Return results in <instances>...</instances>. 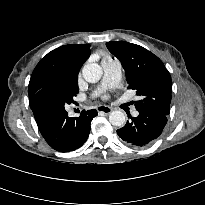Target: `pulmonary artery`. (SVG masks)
<instances>
[{"label": "pulmonary artery", "instance_id": "obj_1", "mask_svg": "<svg viewBox=\"0 0 205 205\" xmlns=\"http://www.w3.org/2000/svg\"><path fill=\"white\" fill-rule=\"evenodd\" d=\"M102 67L104 71V78L102 85L111 86L114 85L120 79L121 75V65L116 59H108L102 62ZM133 116L138 115L137 110L132 111Z\"/></svg>", "mask_w": 205, "mask_h": 205}]
</instances>
